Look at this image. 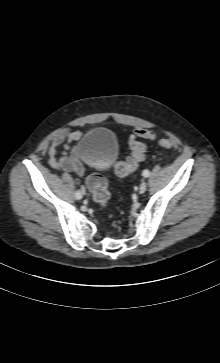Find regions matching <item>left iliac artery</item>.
<instances>
[{
	"label": "left iliac artery",
	"mask_w": 220,
	"mask_h": 363,
	"mask_svg": "<svg viewBox=\"0 0 220 363\" xmlns=\"http://www.w3.org/2000/svg\"><path fill=\"white\" fill-rule=\"evenodd\" d=\"M142 175H143L144 177H149V176H150V172H149V170H144V171L142 172Z\"/></svg>",
	"instance_id": "44dca946"
}]
</instances>
